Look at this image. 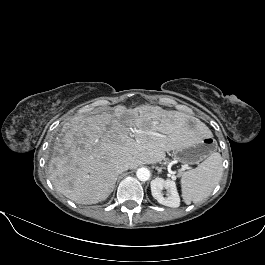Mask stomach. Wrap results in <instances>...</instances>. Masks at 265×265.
<instances>
[{
	"label": "stomach",
	"mask_w": 265,
	"mask_h": 265,
	"mask_svg": "<svg viewBox=\"0 0 265 265\" xmlns=\"http://www.w3.org/2000/svg\"><path fill=\"white\" fill-rule=\"evenodd\" d=\"M214 149L212 139L203 136L198 141L190 142L189 144L176 149L174 157L177 161L187 164H197L208 157Z\"/></svg>",
	"instance_id": "0dacf381"
}]
</instances>
